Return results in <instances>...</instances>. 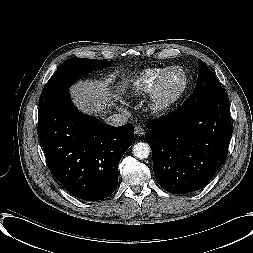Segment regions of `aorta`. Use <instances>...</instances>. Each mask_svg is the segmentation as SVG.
I'll use <instances>...</instances> for the list:
<instances>
[{"mask_svg":"<svg viewBox=\"0 0 253 253\" xmlns=\"http://www.w3.org/2000/svg\"><path fill=\"white\" fill-rule=\"evenodd\" d=\"M133 155L139 159H145L150 154V146L147 143L139 142L133 146Z\"/></svg>","mask_w":253,"mask_h":253,"instance_id":"aorta-1","label":"aorta"}]
</instances>
